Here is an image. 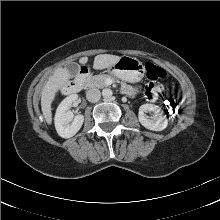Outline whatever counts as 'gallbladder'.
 Instances as JSON below:
<instances>
[{
    "label": "gallbladder",
    "instance_id": "gallbladder-1",
    "mask_svg": "<svg viewBox=\"0 0 220 220\" xmlns=\"http://www.w3.org/2000/svg\"><path fill=\"white\" fill-rule=\"evenodd\" d=\"M68 70L71 73V75L75 76L77 72L79 71V65L77 63H71L68 65Z\"/></svg>",
    "mask_w": 220,
    "mask_h": 220
}]
</instances>
